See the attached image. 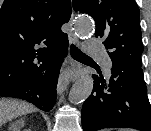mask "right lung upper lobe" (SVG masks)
I'll return each instance as SVG.
<instances>
[{
	"mask_svg": "<svg viewBox=\"0 0 151 131\" xmlns=\"http://www.w3.org/2000/svg\"><path fill=\"white\" fill-rule=\"evenodd\" d=\"M70 0H5L0 9V92L31 76L65 41ZM42 46L41 48H37Z\"/></svg>",
	"mask_w": 151,
	"mask_h": 131,
	"instance_id": "1",
	"label": "right lung upper lobe"
}]
</instances>
